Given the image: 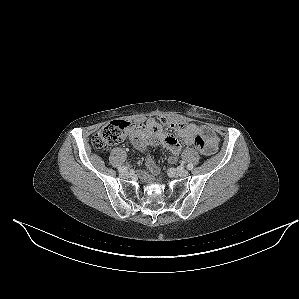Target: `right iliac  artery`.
Returning <instances> with one entry per match:
<instances>
[{
	"label": "right iliac artery",
	"mask_w": 299,
	"mask_h": 299,
	"mask_svg": "<svg viewBox=\"0 0 299 299\" xmlns=\"http://www.w3.org/2000/svg\"><path fill=\"white\" fill-rule=\"evenodd\" d=\"M126 170H127V167H125V166H119L118 167L119 172H125Z\"/></svg>",
	"instance_id": "right-iliac-artery-1"
}]
</instances>
